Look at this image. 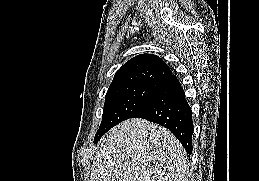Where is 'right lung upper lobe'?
I'll list each match as a JSON object with an SVG mask.
<instances>
[{
    "instance_id": "cb5924a9",
    "label": "right lung upper lobe",
    "mask_w": 259,
    "mask_h": 181,
    "mask_svg": "<svg viewBox=\"0 0 259 181\" xmlns=\"http://www.w3.org/2000/svg\"><path fill=\"white\" fill-rule=\"evenodd\" d=\"M171 74L170 68L158 56L140 54L121 66L109 89L135 84L160 85Z\"/></svg>"
}]
</instances>
